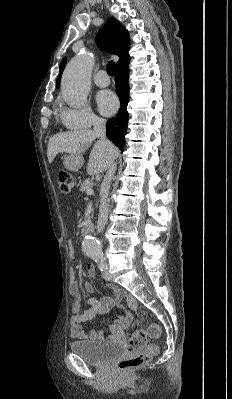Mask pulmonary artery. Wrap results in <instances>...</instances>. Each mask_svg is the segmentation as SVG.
Returning a JSON list of instances; mask_svg holds the SVG:
<instances>
[{
  "mask_svg": "<svg viewBox=\"0 0 232 399\" xmlns=\"http://www.w3.org/2000/svg\"><path fill=\"white\" fill-rule=\"evenodd\" d=\"M94 83L97 84L96 90H106L109 85V77H106L103 69L97 70V77H94Z\"/></svg>",
  "mask_w": 232,
  "mask_h": 399,
  "instance_id": "pulmonary-artery-1",
  "label": "pulmonary artery"
}]
</instances>
